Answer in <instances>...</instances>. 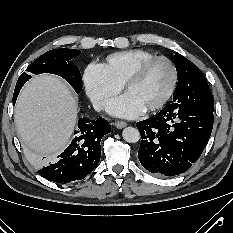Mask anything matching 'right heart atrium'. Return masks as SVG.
<instances>
[{
  "mask_svg": "<svg viewBox=\"0 0 233 233\" xmlns=\"http://www.w3.org/2000/svg\"><path fill=\"white\" fill-rule=\"evenodd\" d=\"M83 84L87 96L97 110H104L122 89V85L110 76L105 66L96 63L85 68Z\"/></svg>",
  "mask_w": 233,
  "mask_h": 233,
  "instance_id": "right-heart-atrium-1",
  "label": "right heart atrium"
}]
</instances>
